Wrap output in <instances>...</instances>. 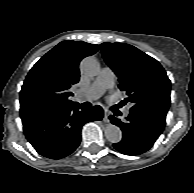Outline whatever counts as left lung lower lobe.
I'll use <instances>...</instances> for the list:
<instances>
[{
    "label": "left lung lower lobe",
    "mask_w": 194,
    "mask_h": 193,
    "mask_svg": "<svg viewBox=\"0 0 194 193\" xmlns=\"http://www.w3.org/2000/svg\"><path fill=\"white\" fill-rule=\"evenodd\" d=\"M109 118L123 133L122 140L113 146L126 155H139L149 150L166 124V116L138 111H130L125 122L112 115Z\"/></svg>",
    "instance_id": "obj_1"
}]
</instances>
